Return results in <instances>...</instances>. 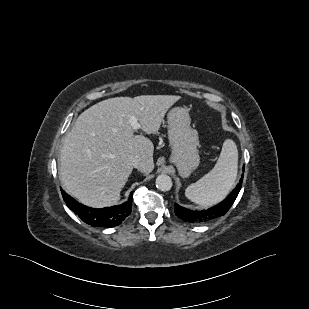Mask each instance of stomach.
Listing matches in <instances>:
<instances>
[{
    "label": "stomach",
    "instance_id": "stomach-1",
    "mask_svg": "<svg viewBox=\"0 0 309 309\" xmlns=\"http://www.w3.org/2000/svg\"><path fill=\"white\" fill-rule=\"evenodd\" d=\"M167 122L168 138L172 149L170 161L176 165L180 176L188 177L200 163L197 150L198 133L190 126L191 118L186 108L171 109Z\"/></svg>",
    "mask_w": 309,
    "mask_h": 309
}]
</instances>
